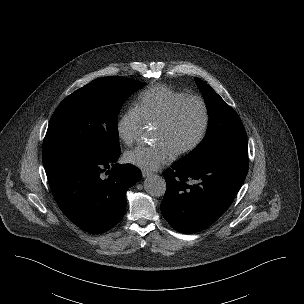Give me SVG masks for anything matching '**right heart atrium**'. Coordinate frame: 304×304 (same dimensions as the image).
Returning a JSON list of instances; mask_svg holds the SVG:
<instances>
[{
	"label": "right heart atrium",
	"instance_id": "obj_1",
	"mask_svg": "<svg viewBox=\"0 0 304 304\" xmlns=\"http://www.w3.org/2000/svg\"><path fill=\"white\" fill-rule=\"evenodd\" d=\"M143 119L135 106L128 108L117 122L119 138L126 144L131 145L143 125Z\"/></svg>",
	"mask_w": 304,
	"mask_h": 304
}]
</instances>
